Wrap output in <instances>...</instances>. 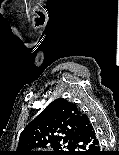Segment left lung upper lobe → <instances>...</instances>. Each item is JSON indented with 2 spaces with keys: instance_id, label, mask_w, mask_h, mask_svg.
<instances>
[{
  "instance_id": "left-lung-upper-lobe-1",
  "label": "left lung upper lobe",
  "mask_w": 119,
  "mask_h": 155,
  "mask_svg": "<svg viewBox=\"0 0 119 155\" xmlns=\"http://www.w3.org/2000/svg\"><path fill=\"white\" fill-rule=\"evenodd\" d=\"M80 116L74 103L54 100L24 128L14 155H76L74 138Z\"/></svg>"
}]
</instances>
